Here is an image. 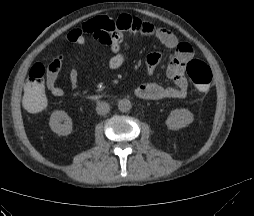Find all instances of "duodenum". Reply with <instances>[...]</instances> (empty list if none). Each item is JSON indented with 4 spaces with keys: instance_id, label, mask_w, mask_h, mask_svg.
I'll return each instance as SVG.
<instances>
[{
    "instance_id": "410a0bca",
    "label": "duodenum",
    "mask_w": 254,
    "mask_h": 216,
    "mask_svg": "<svg viewBox=\"0 0 254 216\" xmlns=\"http://www.w3.org/2000/svg\"><path fill=\"white\" fill-rule=\"evenodd\" d=\"M90 98L91 99H98V96L97 95H90Z\"/></svg>"
}]
</instances>
